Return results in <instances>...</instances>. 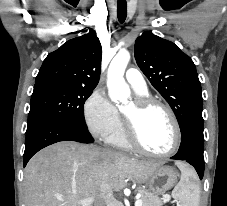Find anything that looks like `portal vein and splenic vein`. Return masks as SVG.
<instances>
[{
    "instance_id": "portal-vein-and-splenic-vein-1",
    "label": "portal vein and splenic vein",
    "mask_w": 227,
    "mask_h": 206,
    "mask_svg": "<svg viewBox=\"0 0 227 206\" xmlns=\"http://www.w3.org/2000/svg\"><path fill=\"white\" fill-rule=\"evenodd\" d=\"M140 194L137 195V200L135 201V206H142V200L140 199ZM166 198H169V196H165ZM94 201V198H86L79 202L80 206H91L92 202Z\"/></svg>"
}]
</instances>
